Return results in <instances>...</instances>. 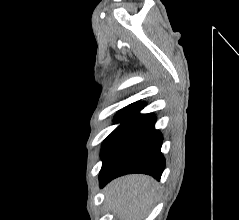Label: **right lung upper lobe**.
<instances>
[{
  "instance_id": "cb5924a9",
  "label": "right lung upper lobe",
  "mask_w": 239,
  "mask_h": 220,
  "mask_svg": "<svg viewBox=\"0 0 239 220\" xmlns=\"http://www.w3.org/2000/svg\"><path fill=\"white\" fill-rule=\"evenodd\" d=\"M137 103H138V102H136V103H134V104H131V105H129V107H128V108H132V107H133V106H135Z\"/></svg>"
}]
</instances>
